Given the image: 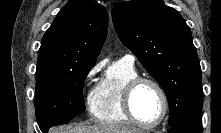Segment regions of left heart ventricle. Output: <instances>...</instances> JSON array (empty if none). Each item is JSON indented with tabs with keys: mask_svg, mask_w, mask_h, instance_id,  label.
Here are the masks:
<instances>
[{
	"mask_svg": "<svg viewBox=\"0 0 221 133\" xmlns=\"http://www.w3.org/2000/svg\"><path fill=\"white\" fill-rule=\"evenodd\" d=\"M133 110L143 122H155L162 112V101L158 91L150 84L140 85L133 96Z\"/></svg>",
	"mask_w": 221,
	"mask_h": 133,
	"instance_id": "1",
	"label": "left heart ventricle"
}]
</instances>
